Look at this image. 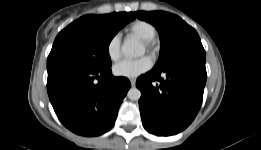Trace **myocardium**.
I'll list each match as a JSON object with an SVG mask.
<instances>
[{
  "label": "myocardium",
  "instance_id": "myocardium-1",
  "mask_svg": "<svg viewBox=\"0 0 261 150\" xmlns=\"http://www.w3.org/2000/svg\"><path fill=\"white\" fill-rule=\"evenodd\" d=\"M143 46L152 55H156L159 50V43L155 38L143 40Z\"/></svg>",
  "mask_w": 261,
  "mask_h": 150
}]
</instances>
